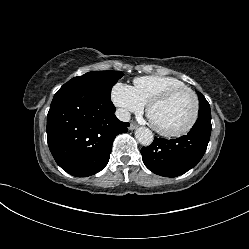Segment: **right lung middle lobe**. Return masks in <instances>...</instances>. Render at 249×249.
I'll return each mask as SVG.
<instances>
[{"mask_svg": "<svg viewBox=\"0 0 249 249\" xmlns=\"http://www.w3.org/2000/svg\"><path fill=\"white\" fill-rule=\"evenodd\" d=\"M124 74L120 71H91L74 77L66 85H78L94 89L99 94L110 98L111 89Z\"/></svg>", "mask_w": 249, "mask_h": 249, "instance_id": "obj_1", "label": "right lung middle lobe"}]
</instances>
